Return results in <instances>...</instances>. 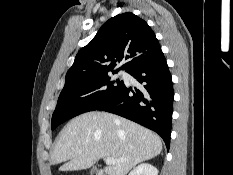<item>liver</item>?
Returning a JSON list of instances; mask_svg holds the SVG:
<instances>
[{
	"label": "liver",
	"mask_w": 233,
	"mask_h": 175,
	"mask_svg": "<svg viewBox=\"0 0 233 175\" xmlns=\"http://www.w3.org/2000/svg\"><path fill=\"white\" fill-rule=\"evenodd\" d=\"M161 151V138L151 130L111 113L88 112L63 128L52 164L65 162L60 171H77L90 168L101 158H113L118 162L105 167V172L126 175Z\"/></svg>",
	"instance_id": "obj_1"
}]
</instances>
